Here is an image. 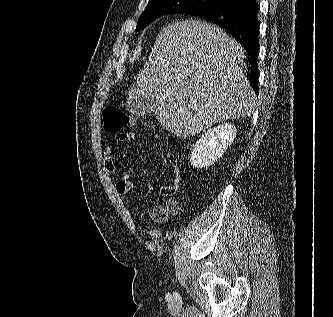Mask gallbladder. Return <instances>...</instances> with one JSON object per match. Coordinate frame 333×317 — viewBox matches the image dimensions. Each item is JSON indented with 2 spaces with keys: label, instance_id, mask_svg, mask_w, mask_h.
<instances>
[{
  "label": "gallbladder",
  "instance_id": "gallbladder-1",
  "mask_svg": "<svg viewBox=\"0 0 333 317\" xmlns=\"http://www.w3.org/2000/svg\"><path fill=\"white\" fill-rule=\"evenodd\" d=\"M157 102L155 99H129L126 102L127 110L136 116L153 115L156 111Z\"/></svg>",
  "mask_w": 333,
  "mask_h": 317
}]
</instances>
